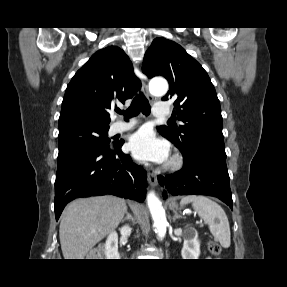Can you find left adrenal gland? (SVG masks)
<instances>
[{
  "mask_svg": "<svg viewBox=\"0 0 287 287\" xmlns=\"http://www.w3.org/2000/svg\"><path fill=\"white\" fill-rule=\"evenodd\" d=\"M178 218H182V216H180V215L177 213V211H174V216H173V218H172L173 222H175V220L178 219Z\"/></svg>",
  "mask_w": 287,
  "mask_h": 287,
  "instance_id": "a2214340",
  "label": "left adrenal gland"
}]
</instances>
